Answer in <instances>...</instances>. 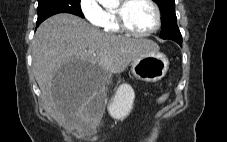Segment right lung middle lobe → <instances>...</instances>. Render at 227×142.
<instances>
[{
  "label": "right lung middle lobe",
  "mask_w": 227,
  "mask_h": 142,
  "mask_svg": "<svg viewBox=\"0 0 227 142\" xmlns=\"http://www.w3.org/2000/svg\"><path fill=\"white\" fill-rule=\"evenodd\" d=\"M58 13H71L84 17L80 8V0H38L37 22Z\"/></svg>",
  "instance_id": "1"
}]
</instances>
